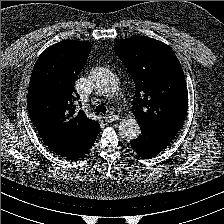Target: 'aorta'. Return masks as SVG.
Wrapping results in <instances>:
<instances>
[{
	"mask_svg": "<svg viewBox=\"0 0 224 224\" xmlns=\"http://www.w3.org/2000/svg\"><path fill=\"white\" fill-rule=\"evenodd\" d=\"M96 84L102 93L114 95L118 91V82L112 73L104 72L97 76ZM119 133L124 138L133 139L140 133L139 125L135 118H125L119 125Z\"/></svg>",
	"mask_w": 224,
	"mask_h": 224,
	"instance_id": "1",
	"label": "aorta"
}]
</instances>
